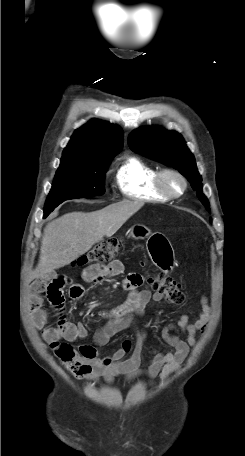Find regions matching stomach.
Returning a JSON list of instances; mask_svg holds the SVG:
<instances>
[{"label": "stomach", "instance_id": "obj_1", "mask_svg": "<svg viewBox=\"0 0 245 456\" xmlns=\"http://www.w3.org/2000/svg\"><path fill=\"white\" fill-rule=\"evenodd\" d=\"M129 234L134 239L148 238V254L159 269L166 273L173 269L175 263L174 250L167 237L163 234L151 233L149 228L141 224L133 225Z\"/></svg>", "mask_w": 245, "mask_h": 456}]
</instances>
